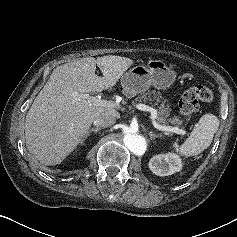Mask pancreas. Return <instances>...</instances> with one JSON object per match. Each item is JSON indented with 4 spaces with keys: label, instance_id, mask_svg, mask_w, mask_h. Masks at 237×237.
Listing matches in <instances>:
<instances>
[{
    "label": "pancreas",
    "instance_id": "obj_1",
    "mask_svg": "<svg viewBox=\"0 0 237 237\" xmlns=\"http://www.w3.org/2000/svg\"><path fill=\"white\" fill-rule=\"evenodd\" d=\"M135 101H155L154 105L158 108V121L163 125H167L169 123L180 125L182 123L178 116H173L172 118H169L171 109L169 107V104L167 103V100L162 98L160 92L148 91L147 93H143L136 97Z\"/></svg>",
    "mask_w": 237,
    "mask_h": 237
}]
</instances>
